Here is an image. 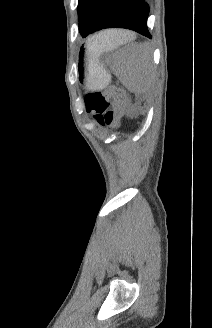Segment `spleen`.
Returning a JSON list of instances; mask_svg holds the SVG:
<instances>
[{"instance_id":"obj_1","label":"spleen","mask_w":212,"mask_h":328,"mask_svg":"<svg viewBox=\"0 0 212 328\" xmlns=\"http://www.w3.org/2000/svg\"><path fill=\"white\" fill-rule=\"evenodd\" d=\"M120 43L111 37V31L100 32L87 41V51L96 57L114 50ZM123 85L133 93L143 94L154 86V69L147 50V45L132 44L127 51L126 59L121 60L117 71Z\"/></svg>"}]
</instances>
